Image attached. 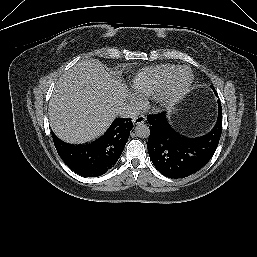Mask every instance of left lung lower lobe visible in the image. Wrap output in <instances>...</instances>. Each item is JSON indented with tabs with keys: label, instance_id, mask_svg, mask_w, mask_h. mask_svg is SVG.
Wrapping results in <instances>:
<instances>
[{
	"label": "left lung lower lobe",
	"instance_id": "1",
	"mask_svg": "<svg viewBox=\"0 0 257 257\" xmlns=\"http://www.w3.org/2000/svg\"><path fill=\"white\" fill-rule=\"evenodd\" d=\"M148 153L156 169L168 178H184L203 168L213 156L222 132V107L213 128L199 137H188L174 129L166 113L148 115Z\"/></svg>",
	"mask_w": 257,
	"mask_h": 257
}]
</instances>
